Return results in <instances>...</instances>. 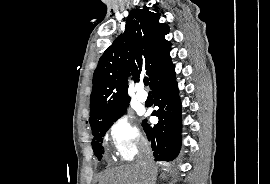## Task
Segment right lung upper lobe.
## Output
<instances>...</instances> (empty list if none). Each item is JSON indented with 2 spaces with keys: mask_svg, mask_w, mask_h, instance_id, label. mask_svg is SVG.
Here are the masks:
<instances>
[{
  "mask_svg": "<svg viewBox=\"0 0 270 184\" xmlns=\"http://www.w3.org/2000/svg\"><path fill=\"white\" fill-rule=\"evenodd\" d=\"M161 14L148 9L131 10L125 31L100 57L93 75L89 123L107 120L129 103L127 78L141 75L153 82L171 65L169 26L159 23Z\"/></svg>",
  "mask_w": 270,
  "mask_h": 184,
  "instance_id": "1",
  "label": "right lung upper lobe"
}]
</instances>
